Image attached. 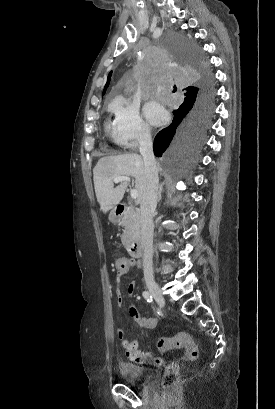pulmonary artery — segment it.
I'll list each match as a JSON object with an SVG mask.
<instances>
[{
    "label": "pulmonary artery",
    "instance_id": "1",
    "mask_svg": "<svg viewBox=\"0 0 275 409\" xmlns=\"http://www.w3.org/2000/svg\"><path fill=\"white\" fill-rule=\"evenodd\" d=\"M161 90H162V87H161V86H158V87H157V90H156V93H157V94H160V93H161Z\"/></svg>",
    "mask_w": 275,
    "mask_h": 409
}]
</instances>
